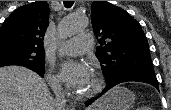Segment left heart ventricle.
<instances>
[{"label": "left heart ventricle", "instance_id": "obj_1", "mask_svg": "<svg viewBox=\"0 0 171 110\" xmlns=\"http://www.w3.org/2000/svg\"><path fill=\"white\" fill-rule=\"evenodd\" d=\"M95 86V76L93 73H90L88 79L86 80L83 87L78 91V94H84L92 90Z\"/></svg>", "mask_w": 171, "mask_h": 110}]
</instances>
